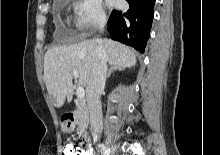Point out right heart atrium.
I'll use <instances>...</instances> for the list:
<instances>
[{
  "label": "right heart atrium",
  "instance_id": "d8ad5b80",
  "mask_svg": "<svg viewBox=\"0 0 220 155\" xmlns=\"http://www.w3.org/2000/svg\"><path fill=\"white\" fill-rule=\"evenodd\" d=\"M73 7L75 26L80 32L99 29L107 20L101 0H75Z\"/></svg>",
  "mask_w": 220,
  "mask_h": 155
}]
</instances>
